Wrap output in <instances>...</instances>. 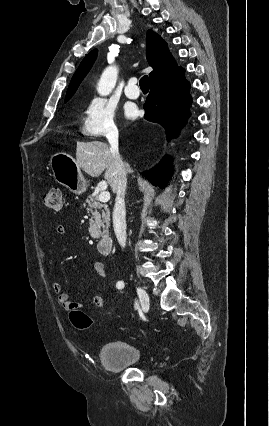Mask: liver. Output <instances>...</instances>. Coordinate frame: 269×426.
<instances>
[{
  "instance_id": "6515ba94",
  "label": "liver",
  "mask_w": 269,
  "mask_h": 426,
  "mask_svg": "<svg viewBox=\"0 0 269 426\" xmlns=\"http://www.w3.org/2000/svg\"><path fill=\"white\" fill-rule=\"evenodd\" d=\"M76 162L91 177H98L104 171V178L113 192L116 191L118 172L110 147L101 141L78 142ZM131 172L127 166L126 173Z\"/></svg>"
}]
</instances>
